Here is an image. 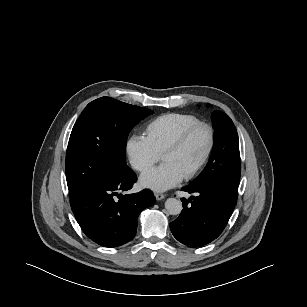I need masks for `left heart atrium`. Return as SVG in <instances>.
Masks as SVG:
<instances>
[{"mask_svg": "<svg viewBox=\"0 0 307 307\" xmlns=\"http://www.w3.org/2000/svg\"><path fill=\"white\" fill-rule=\"evenodd\" d=\"M183 178L184 175L178 168L171 163H163L143 173L140 183L154 191H165L180 183Z\"/></svg>", "mask_w": 307, "mask_h": 307, "instance_id": "obj_1", "label": "left heart atrium"}]
</instances>
